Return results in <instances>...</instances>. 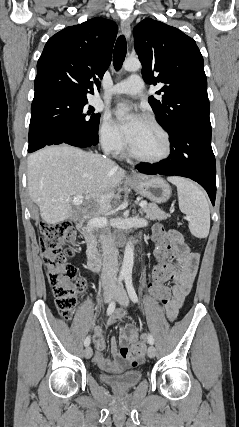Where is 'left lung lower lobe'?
<instances>
[{
  "mask_svg": "<svg viewBox=\"0 0 239 427\" xmlns=\"http://www.w3.org/2000/svg\"><path fill=\"white\" fill-rule=\"evenodd\" d=\"M170 156L159 163H140L144 174L183 176L198 182L208 193L212 204L216 197V162L211 147V126L181 124L168 133Z\"/></svg>",
  "mask_w": 239,
  "mask_h": 427,
  "instance_id": "1",
  "label": "left lung lower lobe"
}]
</instances>
